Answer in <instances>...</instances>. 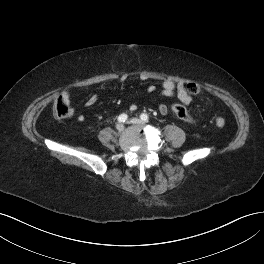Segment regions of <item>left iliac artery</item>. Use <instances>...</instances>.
I'll return each instance as SVG.
<instances>
[{"instance_id":"obj_1","label":"left iliac artery","mask_w":264,"mask_h":264,"mask_svg":"<svg viewBox=\"0 0 264 264\" xmlns=\"http://www.w3.org/2000/svg\"><path fill=\"white\" fill-rule=\"evenodd\" d=\"M140 118H141V120H143V121H147V120H148V115L145 114V113H143V114H141Z\"/></svg>"}]
</instances>
